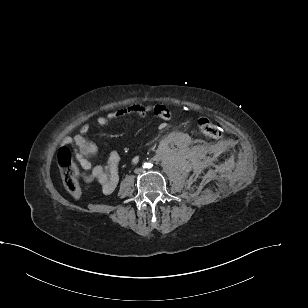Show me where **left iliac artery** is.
<instances>
[{"mask_svg":"<svg viewBox=\"0 0 308 308\" xmlns=\"http://www.w3.org/2000/svg\"><path fill=\"white\" fill-rule=\"evenodd\" d=\"M148 168H151L153 166V164L151 163H146Z\"/></svg>","mask_w":308,"mask_h":308,"instance_id":"1","label":"left iliac artery"}]
</instances>
